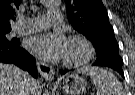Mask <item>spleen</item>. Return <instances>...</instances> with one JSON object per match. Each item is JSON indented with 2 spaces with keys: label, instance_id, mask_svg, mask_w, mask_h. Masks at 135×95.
Instances as JSON below:
<instances>
[{
  "label": "spleen",
  "instance_id": "3e777b00",
  "mask_svg": "<svg viewBox=\"0 0 135 95\" xmlns=\"http://www.w3.org/2000/svg\"><path fill=\"white\" fill-rule=\"evenodd\" d=\"M78 73L91 77L97 89V95H125V91L119 80L104 68L86 66L80 68Z\"/></svg>",
  "mask_w": 135,
  "mask_h": 95
}]
</instances>
